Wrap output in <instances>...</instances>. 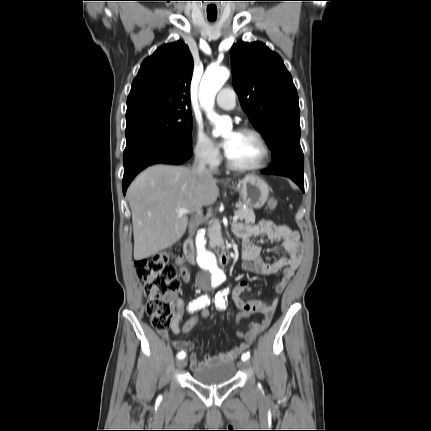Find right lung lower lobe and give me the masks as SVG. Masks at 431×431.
Wrapping results in <instances>:
<instances>
[{
  "mask_svg": "<svg viewBox=\"0 0 431 431\" xmlns=\"http://www.w3.org/2000/svg\"><path fill=\"white\" fill-rule=\"evenodd\" d=\"M191 156V144L163 134H146L127 141L123 155V193H126L133 178L146 167L156 163L182 164Z\"/></svg>",
  "mask_w": 431,
  "mask_h": 431,
  "instance_id": "right-lung-lower-lobe-1",
  "label": "right lung lower lobe"
}]
</instances>
